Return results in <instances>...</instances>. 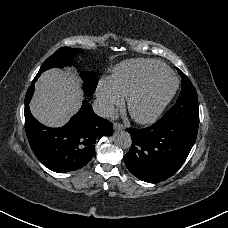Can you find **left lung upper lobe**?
Wrapping results in <instances>:
<instances>
[{"mask_svg":"<svg viewBox=\"0 0 228 228\" xmlns=\"http://www.w3.org/2000/svg\"><path fill=\"white\" fill-rule=\"evenodd\" d=\"M177 70L182 77L181 93L175 105L164 114L159 122L164 124L192 123L199 125V108L196 90L189 78L182 71Z\"/></svg>","mask_w":228,"mask_h":228,"instance_id":"left-lung-upper-lobe-1","label":"left lung upper lobe"}]
</instances>
